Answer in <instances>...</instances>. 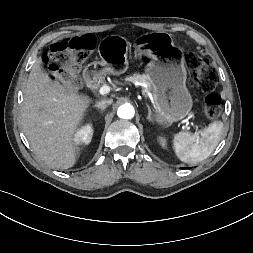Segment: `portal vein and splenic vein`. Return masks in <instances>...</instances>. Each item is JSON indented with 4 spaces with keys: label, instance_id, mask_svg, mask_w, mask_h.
Masks as SVG:
<instances>
[{
    "label": "portal vein and splenic vein",
    "instance_id": "1",
    "mask_svg": "<svg viewBox=\"0 0 253 253\" xmlns=\"http://www.w3.org/2000/svg\"><path fill=\"white\" fill-rule=\"evenodd\" d=\"M109 92H110V87L107 86V85H102V86L99 88V90H98V93H99L100 95H106V94H108ZM191 125L193 126V124H191ZM188 126H189V123L186 124V127H187V128H189ZM196 130L199 132L198 127H196Z\"/></svg>",
    "mask_w": 253,
    "mask_h": 253
}]
</instances>
